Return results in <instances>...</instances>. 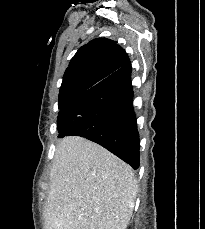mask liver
<instances>
[{
	"instance_id": "6515ba94",
	"label": "liver",
	"mask_w": 205,
	"mask_h": 229,
	"mask_svg": "<svg viewBox=\"0 0 205 229\" xmlns=\"http://www.w3.org/2000/svg\"><path fill=\"white\" fill-rule=\"evenodd\" d=\"M132 168L78 136L58 141L45 205V229H125L137 196Z\"/></svg>"
}]
</instances>
